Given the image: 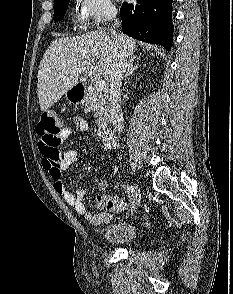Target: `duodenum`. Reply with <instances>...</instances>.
<instances>
[{
    "label": "duodenum",
    "mask_w": 233,
    "mask_h": 294,
    "mask_svg": "<svg viewBox=\"0 0 233 294\" xmlns=\"http://www.w3.org/2000/svg\"><path fill=\"white\" fill-rule=\"evenodd\" d=\"M84 85L83 84H77L73 88L74 94L76 97H82L84 94ZM101 137L102 140L110 147H115L117 145V139L114 134V132L109 128H104L101 131Z\"/></svg>",
    "instance_id": "duodenum-1"
}]
</instances>
